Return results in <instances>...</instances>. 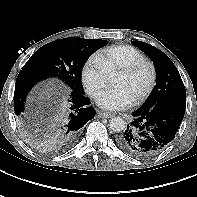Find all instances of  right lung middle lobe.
I'll return each mask as SVG.
<instances>
[{"instance_id": "dd1d6c3e", "label": "right lung middle lobe", "mask_w": 197, "mask_h": 197, "mask_svg": "<svg viewBox=\"0 0 197 197\" xmlns=\"http://www.w3.org/2000/svg\"><path fill=\"white\" fill-rule=\"evenodd\" d=\"M105 45L107 41L101 39H59L39 48L22 70L57 77L63 80L72 92L84 94L81 85L82 68L86 60Z\"/></svg>"}]
</instances>
